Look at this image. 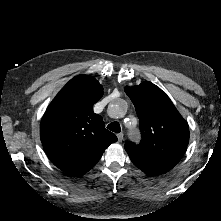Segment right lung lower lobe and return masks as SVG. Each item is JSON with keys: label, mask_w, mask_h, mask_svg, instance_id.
Instances as JSON below:
<instances>
[{"label": "right lung lower lobe", "mask_w": 221, "mask_h": 221, "mask_svg": "<svg viewBox=\"0 0 221 221\" xmlns=\"http://www.w3.org/2000/svg\"><path fill=\"white\" fill-rule=\"evenodd\" d=\"M100 158L93 160H85L83 162L65 167L61 170L70 175H79V176L84 175L86 172H88L91 168H93L96 165V163L99 161Z\"/></svg>", "instance_id": "1"}]
</instances>
